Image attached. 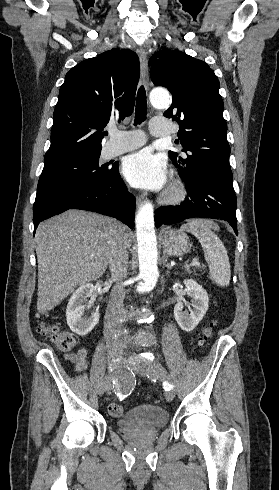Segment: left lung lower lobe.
I'll return each mask as SVG.
<instances>
[{
	"instance_id": "1",
	"label": "left lung lower lobe",
	"mask_w": 279,
	"mask_h": 490,
	"mask_svg": "<svg viewBox=\"0 0 279 490\" xmlns=\"http://www.w3.org/2000/svg\"><path fill=\"white\" fill-rule=\"evenodd\" d=\"M188 196L181 205L156 210L155 225H170L190 218H213L225 220L232 226L236 235L237 198L232 177L211 171L195 173L183 178Z\"/></svg>"
}]
</instances>
